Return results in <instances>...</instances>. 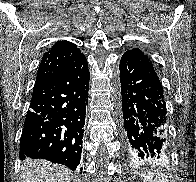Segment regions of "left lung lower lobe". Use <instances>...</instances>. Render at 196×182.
<instances>
[{
	"label": "left lung lower lobe",
	"mask_w": 196,
	"mask_h": 182,
	"mask_svg": "<svg viewBox=\"0 0 196 182\" xmlns=\"http://www.w3.org/2000/svg\"><path fill=\"white\" fill-rule=\"evenodd\" d=\"M123 134L129 158H162L167 153V118L157 72L129 55L120 61Z\"/></svg>",
	"instance_id": "1"
}]
</instances>
